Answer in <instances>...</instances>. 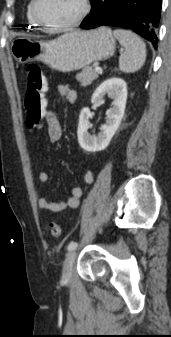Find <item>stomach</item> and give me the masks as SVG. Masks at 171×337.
Returning <instances> with one entry per match:
<instances>
[{
	"label": "stomach",
	"mask_w": 171,
	"mask_h": 337,
	"mask_svg": "<svg viewBox=\"0 0 171 337\" xmlns=\"http://www.w3.org/2000/svg\"><path fill=\"white\" fill-rule=\"evenodd\" d=\"M115 45L111 30L100 27L67 33L51 41L18 38L12 42L11 52L19 63L39 60L54 70L70 72L112 57Z\"/></svg>",
	"instance_id": "1"
}]
</instances>
